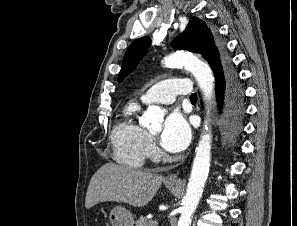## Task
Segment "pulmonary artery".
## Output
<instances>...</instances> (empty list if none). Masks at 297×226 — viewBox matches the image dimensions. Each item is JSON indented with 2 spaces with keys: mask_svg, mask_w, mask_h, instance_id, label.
<instances>
[{
  "mask_svg": "<svg viewBox=\"0 0 297 226\" xmlns=\"http://www.w3.org/2000/svg\"><path fill=\"white\" fill-rule=\"evenodd\" d=\"M192 92L191 82L188 79L172 78L160 81L149 87L141 96L145 104H171L175 96H190Z\"/></svg>",
  "mask_w": 297,
  "mask_h": 226,
  "instance_id": "1",
  "label": "pulmonary artery"
}]
</instances>
